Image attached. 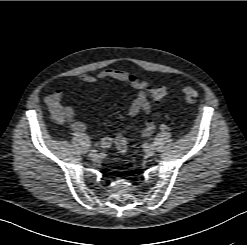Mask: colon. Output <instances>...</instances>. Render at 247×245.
Returning a JSON list of instances; mask_svg holds the SVG:
<instances>
[{
  "label": "colon",
  "instance_id": "colon-1",
  "mask_svg": "<svg viewBox=\"0 0 247 245\" xmlns=\"http://www.w3.org/2000/svg\"><path fill=\"white\" fill-rule=\"evenodd\" d=\"M166 89L159 87V88H152L149 90V95L150 98L154 101V102H158L160 100H162L165 96H166ZM183 93L185 98L187 99L188 102H194L196 100V98L199 95V92L197 90H195L192 87L189 86H185L183 88ZM115 146L117 148V150L121 153V154H125L127 151V140L126 138L122 135V134H118L115 137L114 140Z\"/></svg>",
  "mask_w": 247,
  "mask_h": 245
}]
</instances>
